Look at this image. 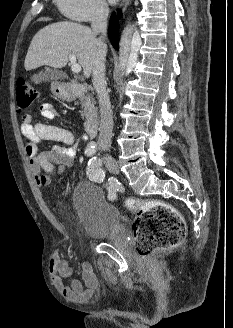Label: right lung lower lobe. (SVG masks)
<instances>
[{"label": "right lung lower lobe", "mask_w": 233, "mask_h": 328, "mask_svg": "<svg viewBox=\"0 0 233 328\" xmlns=\"http://www.w3.org/2000/svg\"><path fill=\"white\" fill-rule=\"evenodd\" d=\"M117 16L120 17L121 14L118 12ZM118 26L119 25H118L116 13L114 12L111 16L108 35L112 42L113 47L117 50L119 49V44H118L117 40L115 39V37H118V32H117Z\"/></svg>", "instance_id": "right-lung-lower-lobe-1"}]
</instances>
